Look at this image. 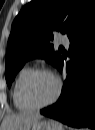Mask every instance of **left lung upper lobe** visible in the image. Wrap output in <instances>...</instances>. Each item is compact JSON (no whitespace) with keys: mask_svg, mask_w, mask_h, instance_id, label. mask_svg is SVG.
I'll return each instance as SVG.
<instances>
[{"mask_svg":"<svg viewBox=\"0 0 95 130\" xmlns=\"http://www.w3.org/2000/svg\"><path fill=\"white\" fill-rule=\"evenodd\" d=\"M95 12L94 0H33L15 18L7 45L5 77L10 87L24 63L44 58L57 66L61 54L49 43L53 31L72 36ZM69 13V17L65 18Z\"/></svg>","mask_w":95,"mask_h":130,"instance_id":"left-lung-upper-lobe-1","label":"left lung upper lobe"}]
</instances>
